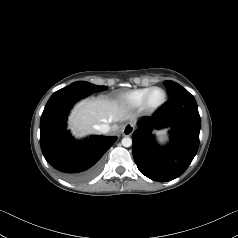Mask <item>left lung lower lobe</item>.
<instances>
[{
	"mask_svg": "<svg viewBox=\"0 0 238 238\" xmlns=\"http://www.w3.org/2000/svg\"><path fill=\"white\" fill-rule=\"evenodd\" d=\"M170 128V142L160 147L152 131ZM200 115L196 100L181 90L162 105L151 117L138 121L134 131L133 157L139 171L158 182L182 175L199 147Z\"/></svg>",
	"mask_w": 238,
	"mask_h": 238,
	"instance_id": "0a47b994",
	"label": "left lung lower lobe"
}]
</instances>
